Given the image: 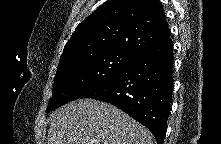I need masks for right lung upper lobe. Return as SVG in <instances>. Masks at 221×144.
<instances>
[{"instance_id":"right-lung-upper-lobe-1","label":"right lung upper lobe","mask_w":221,"mask_h":144,"mask_svg":"<svg viewBox=\"0 0 221 144\" xmlns=\"http://www.w3.org/2000/svg\"><path fill=\"white\" fill-rule=\"evenodd\" d=\"M170 35L158 0H108L77 26L58 67L110 50L137 55Z\"/></svg>"}]
</instances>
